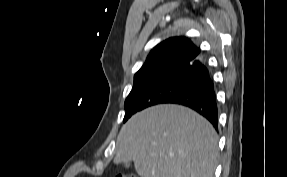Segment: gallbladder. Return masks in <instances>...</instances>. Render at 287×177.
I'll list each match as a JSON object with an SVG mask.
<instances>
[{"label": "gallbladder", "mask_w": 287, "mask_h": 177, "mask_svg": "<svg viewBox=\"0 0 287 177\" xmlns=\"http://www.w3.org/2000/svg\"><path fill=\"white\" fill-rule=\"evenodd\" d=\"M123 166H124L125 168H129V167H130V162H125V163H123Z\"/></svg>", "instance_id": "1"}]
</instances>
